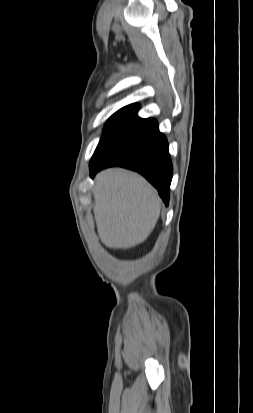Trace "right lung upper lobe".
<instances>
[{
  "label": "right lung upper lobe",
  "instance_id": "right-lung-upper-lobe-1",
  "mask_svg": "<svg viewBox=\"0 0 253 413\" xmlns=\"http://www.w3.org/2000/svg\"><path fill=\"white\" fill-rule=\"evenodd\" d=\"M139 110V105L138 104H130L128 106H125L123 108H121L119 111L117 112H132V113H137V111Z\"/></svg>",
  "mask_w": 253,
  "mask_h": 413
}]
</instances>
